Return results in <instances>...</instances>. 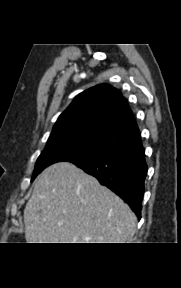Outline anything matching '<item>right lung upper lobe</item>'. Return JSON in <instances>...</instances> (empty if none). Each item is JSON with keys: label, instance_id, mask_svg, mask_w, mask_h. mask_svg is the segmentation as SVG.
Returning a JSON list of instances; mask_svg holds the SVG:
<instances>
[{"label": "right lung upper lobe", "instance_id": "1", "mask_svg": "<svg viewBox=\"0 0 181 288\" xmlns=\"http://www.w3.org/2000/svg\"><path fill=\"white\" fill-rule=\"evenodd\" d=\"M68 138L90 141L110 153L142 145L127 100L107 84L77 95L59 116L48 141Z\"/></svg>", "mask_w": 181, "mask_h": 288}]
</instances>
